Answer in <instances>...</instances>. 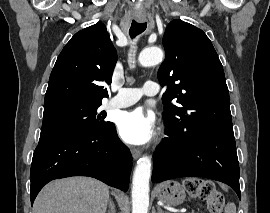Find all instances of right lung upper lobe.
<instances>
[{
	"label": "right lung upper lobe",
	"mask_w": 270,
	"mask_h": 213,
	"mask_svg": "<svg viewBox=\"0 0 270 213\" xmlns=\"http://www.w3.org/2000/svg\"><path fill=\"white\" fill-rule=\"evenodd\" d=\"M117 61L106 27L96 23L77 32L59 54L51 72L44 106L75 100L102 103Z\"/></svg>",
	"instance_id": "cb5924a9"
}]
</instances>
